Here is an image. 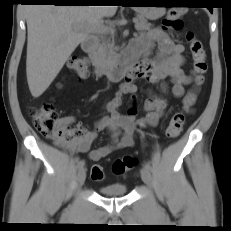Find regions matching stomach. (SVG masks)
<instances>
[{
  "label": "stomach",
  "mask_w": 231,
  "mask_h": 231,
  "mask_svg": "<svg viewBox=\"0 0 231 231\" xmlns=\"http://www.w3.org/2000/svg\"><path fill=\"white\" fill-rule=\"evenodd\" d=\"M136 7V11L147 19H156L165 13V7Z\"/></svg>",
  "instance_id": "1"
}]
</instances>
